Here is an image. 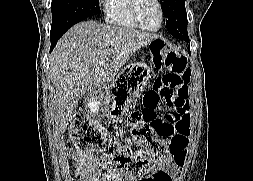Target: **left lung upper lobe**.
<instances>
[{
    "label": "left lung upper lobe",
    "instance_id": "obj_1",
    "mask_svg": "<svg viewBox=\"0 0 253 181\" xmlns=\"http://www.w3.org/2000/svg\"><path fill=\"white\" fill-rule=\"evenodd\" d=\"M163 14L167 17L168 32L176 38L189 41L185 0H160Z\"/></svg>",
    "mask_w": 253,
    "mask_h": 181
}]
</instances>
